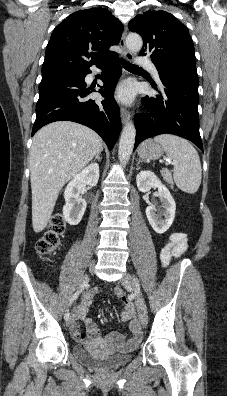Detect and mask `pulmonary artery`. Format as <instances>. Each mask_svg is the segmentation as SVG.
I'll list each match as a JSON object with an SVG mask.
<instances>
[{"label":"pulmonary artery","mask_w":227,"mask_h":396,"mask_svg":"<svg viewBox=\"0 0 227 396\" xmlns=\"http://www.w3.org/2000/svg\"><path fill=\"white\" fill-rule=\"evenodd\" d=\"M137 63H138V65H140V66H143V67L148 68V69L150 70V72L153 74V76H154L157 80H159V74H158L157 68L155 67V65H154L149 59H146V58H139V59L137 60Z\"/></svg>","instance_id":"1"}]
</instances>
